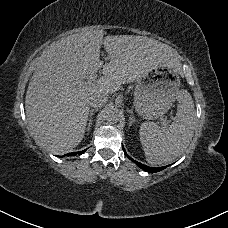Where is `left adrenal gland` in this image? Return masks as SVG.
I'll use <instances>...</instances> for the list:
<instances>
[{"mask_svg": "<svg viewBox=\"0 0 228 228\" xmlns=\"http://www.w3.org/2000/svg\"><path fill=\"white\" fill-rule=\"evenodd\" d=\"M134 113L131 111V115H130V121H129V127L133 125H137V122L135 121V119L133 118Z\"/></svg>", "mask_w": 228, "mask_h": 228, "instance_id": "obj_1", "label": "left adrenal gland"}]
</instances>
